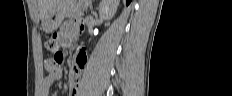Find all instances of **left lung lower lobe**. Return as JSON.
Listing matches in <instances>:
<instances>
[{
  "mask_svg": "<svg viewBox=\"0 0 232 96\" xmlns=\"http://www.w3.org/2000/svg\"><path fill=\"white\" fill-rule=\"evenodd\" d=\"M131 2V0H126L127 5Z\"/></svg>",
  "mask_w": 232,
  "mask_h": 96,
  "instance_id": "1",
  "label": "left lung lower lobe"
}]
</instances>
